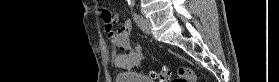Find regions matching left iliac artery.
Instances as JSON below:
<instances>
[{
  "instance_id": "1",
  "label": "left iliac artery",
  "mask_w": 279,
  "mask_h": 82,
  "mask_svg": "<svg viewBox=\"0 0 279 82\" xmlns=\"http://www.w3.org/2000/svg\"><path fill=\"white\" fill-rule=\"evenodd\" d=\"M128 5L130 7V10H131V13L133 15V19L136 21V22H139L142 20V16L137 14L134 10V6H135V1L134 0H128Z\"/></svg>"
}]
</instances>
